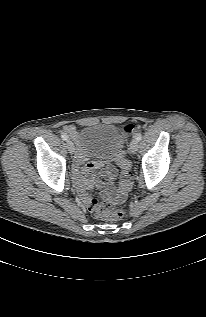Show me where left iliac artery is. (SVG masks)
<instances>
[{"mask_svg":"<svg viewBox=\"0 0 206 317\" xmlns=\"http://www.w3.org/2000/svg\"><path fill=\"white\" fill-rule=\"evenodd\" d=\"M141 139H142V135L140 133H138L136 135V140L139 142V141H141Z\"/></svg>","mask_w":206,"mask_h":317,"instance_id":"44dca946","label":"left iliac artery"}]
</instances>
